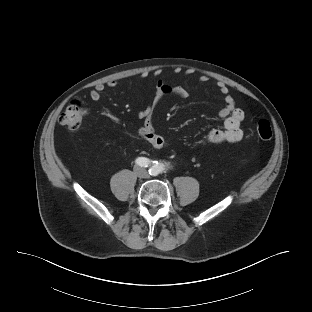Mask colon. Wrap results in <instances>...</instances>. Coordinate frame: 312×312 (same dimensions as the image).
I'll list each match as a JSON object with an SVG mask.
<instances>
[{"instance_id": "1", "label": "colon", "mask_w": 312, "mask_h": 312, "mask_svg": "<svg viewBox=\"0 0 312 312\" xmlns=\"http://www.w3.org/2000/svg\"><path fill=\"white\" fill-rule=\"evenodd\" d=\"M86 113L84 105L79 101H72L59 117V124L65 128L74 130L80 126L81 120ZM256 132L260 139L270 140L272 138V127L268 120L260 119L256 124Z\"/></svg>"}]
</instances>
